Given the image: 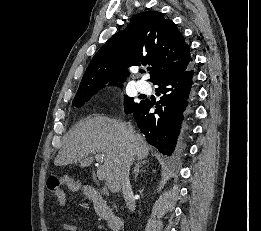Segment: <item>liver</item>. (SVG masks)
Returning <instances> with one entry per match:
<instances>
[{
	"label": "liver",
	"instance_id": "1",
	"mask_svg": "<svg viewBox=\"0 0 261 231\" xmlns=\"http://www.w3.org/2000/svg\"><path fill=\"white\" fill-rule=\"evenodd\" d=\"M95 153H105L106 185L111 192L117 193L122 188L127 163L134 157L147 158L149 146L140 134L134 132L130 136L124 122L96 115L77 124L66 136L54 164L80 163L86 167L93 162L89 155Z\"/></svg>",
	"mask_w": 261,
	"mask_h": 231
}]
</instances>
